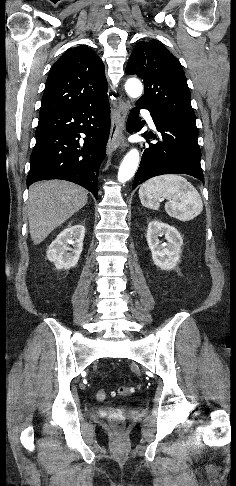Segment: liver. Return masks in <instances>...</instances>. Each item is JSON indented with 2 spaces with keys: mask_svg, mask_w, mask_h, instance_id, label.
Listing matches in <instances>:
<instances>
[{
  "mask_svg": "<svg viewBox=\"0 0 236 486\" xmlns=\"http://www.w3.org/2000/svg\"><path fill=\"white\" fill-rule=\"evenodd\" d=\"M82 187L63 180L38 182L30 186L27 203L29 232L35 245L87 203Z\"/></svg>",
  "mask_w": 236,
  "mask_h": 486,
  "instance_id": "6515ba94",
  "label": "liver"
}]
</instances>
